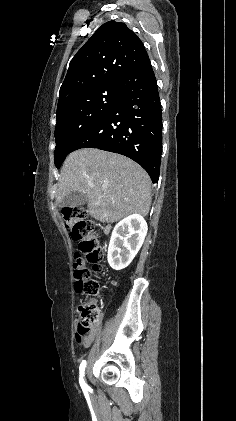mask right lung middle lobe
<instances>
[{"instance_id": "1", "label": "right lung middle lobe", "mask_w": 236, "mask_h": 421, "mask_svg": "<svg viewBox=\"0 0 236 421\" xmlns=\"http://www.w3.org/2000/svg\"><path fill=\"white\" fill-rule=\"evenodd\" d=\"M121 98L118 86L75 96L57 107L55 165L59 169L76 143L112 110Z\"/></svg>"}]
</instances>
